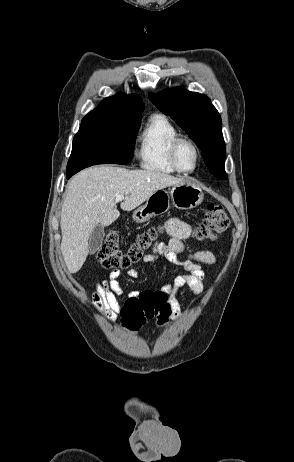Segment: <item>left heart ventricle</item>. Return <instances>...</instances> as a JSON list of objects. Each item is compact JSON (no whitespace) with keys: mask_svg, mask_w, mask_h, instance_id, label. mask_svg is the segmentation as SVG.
I'll list each match as a JSON object with an SVG mask.
<instances>
[{"mask_svg":"<svg viewBox=\"0 0 294 462\" xmlns=\"http://www.w3.org/2000/svg\"><path fill=\"white\" fill-rule=\"evenodd\" d=\"M178 162L180 166L185 170L193 168L195 164V152L189 144L183 143L179 147Z\"/></svg>","mask_w":294,"mask_h":462,"instance_id":"left-heart-ventricle-1","label":"left heart ventricle"}]
</instances>
